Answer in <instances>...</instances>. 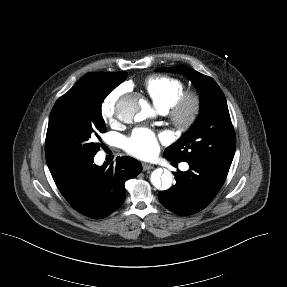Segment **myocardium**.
I'll list each match as a JSON object with an SVG mask.
<instances>
[{
    "label": "myocardium",
    "instance_id": "obj_1",
    "mask_svg": "<svg viewBox=\"0 0 287 287\" xmlns=\"http://www.w3.org/2000/svg\"><path fill=\"white\" fill-rule=\"evenodd\" d=\"M201 112V98L195 91L183 92L167 110L171 123L178 129L186 131L198 120Z\"/></svg>",
    "mask_w": 287,
    "mask_h": 287
}]
</instances>
